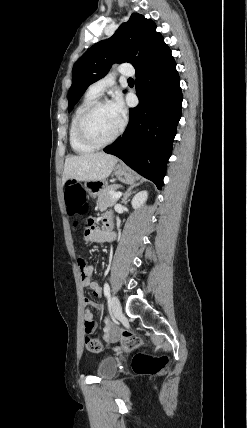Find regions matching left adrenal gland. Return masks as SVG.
I'll use <instances>...</instances> for the list:
<instances>
[{"label":"left adrenal gland","instance_id":"left-adrenal-gland-1","mask_svg":"<svg viewBox=\"0 0 247 428\" xmlns=\"http://www.w3.org/2000/svg\"><path fill=\"white\" fill-rule=\"evenodd\" d=\"M138 185L139 184H134V185H131V186L128 187V189L126 190V192L123 194L122 201H121L122 203L126 202L127 198L132 194V189L134 187L138 186Z\"/></svg>","mask_w":247,"mask_h":428}]
</instances>
